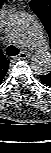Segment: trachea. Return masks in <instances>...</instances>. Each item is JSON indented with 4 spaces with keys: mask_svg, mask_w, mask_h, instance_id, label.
Masks as SVG:
<instances>
[{
    "mask_svg": "<svg viewBox=\"0 0 51 153\" xmlns=\"http://www.w3.org/2000/svg\"><path fill=\"white\" fill-rule=\"evenodd\" d=\"M6 54L10 57L19 54V49L16 46L10 45L6 48Z\"/></svg>",
    "mask_w": 51,
    "mask_h": 153,
    "instance_id": "1",
    "label": "trachea"
}]
</instances>
